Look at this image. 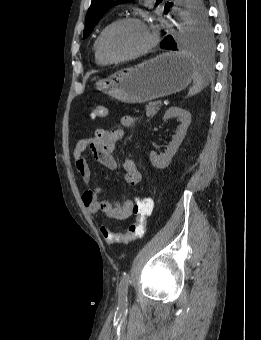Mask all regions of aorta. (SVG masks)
I'll list each match as a JSON object with an SVG mask.
<instances>
[{
  "label": "aorta",
  "mask_w": 261,
  "mask_h": 340,
  "mask_svg": "<svg viewBox=\"0 0 261 340\" xmlns=\"http://www.w3.org/2000/svg\"><path fill=\"white\" fill-rule=\"evenodd\" d=\"M178 3H183V0H178Z\"/></svg>",
  "instance_id": "obj_1"
}]
</instances>
